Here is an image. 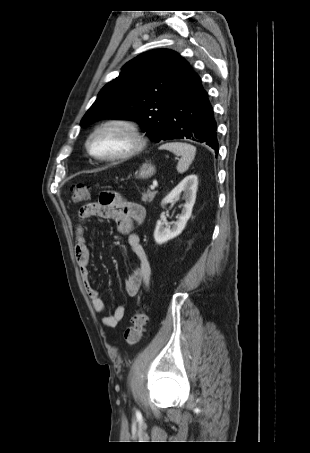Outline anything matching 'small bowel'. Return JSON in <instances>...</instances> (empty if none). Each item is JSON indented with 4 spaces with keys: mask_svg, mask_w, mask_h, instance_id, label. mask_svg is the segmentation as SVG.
<instances>
[{
    "mask_svg": "<svg viewBox=\"0 0 310 453\" xmlns=\"http://www.w3.org/2000/svg\"><path fill=\"white\" fill-rule=\"evenodd\" d=\"M91 217L114 220L118 230L127 236L128 244L139 260V266L126 279L125 290L129 297H135L141 288H148L151 275L150 264L141 245L140 238L133 232L135 225H141L144 222L146 211L140 204L124 200L116 194H114L112 202L108 205L102 204L99 200L83 205L78 211L75 257L85 291L94 309L102 313L105 311V304L92 282V273L89 269L90 252L85 238V222ZM124 316L125 308L118 306L112 313L102 318V323L106 327L114 328L123 320Z\"/></svg>",
    "mask_w": 310,
    "mask_h": 453,
    "instance_id": "small-bowel-1",
    "label": "small bowel"
}]
</instances>
